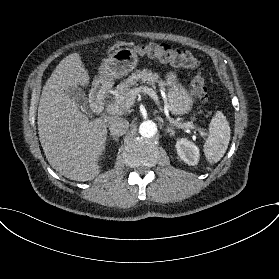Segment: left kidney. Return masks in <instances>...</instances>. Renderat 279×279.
Segmentation results:
<instances>
[{
    "label": "left kidney",
    "mask_w": 279,
    "mask_h": 279,
    "mask_svg": "<svg viewBox=\"0 0 279 279\" xmlns=\"http://www.w3.org/2000/svg\"><path fill=\"white\" fill-rule=\"evenodd\" d=\"M178 156L188 165L194 166L199 162V148L186 138L178 139L176 142Z\"/></svg>",
    "instance_id": "obj_1"
}]
</instances>
